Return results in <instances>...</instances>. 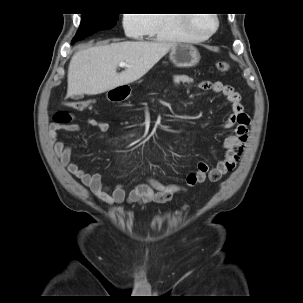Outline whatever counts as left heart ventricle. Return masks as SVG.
<instances>
[{
    "mask_svg": "<svg viewBox=\"0 0 303 303\" xmlns=\"http://www.w3.org/2000/svg\"><path fill=\"white\" fill-rule=\"evenodd\" d=\"M194 16L195 20L192 24V28L195 32L205 34L212 30L214 27L213 18L208 14H197Z\"/></svg>",
    "mask_w": 303,
    "mask_h": 303,
    "instance_id": "b2bd125f",
    "label": "left heart ventricle"
}]
</instances>
